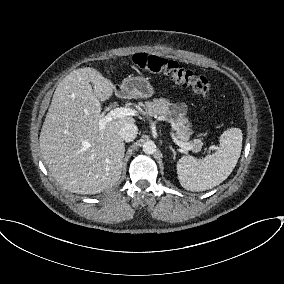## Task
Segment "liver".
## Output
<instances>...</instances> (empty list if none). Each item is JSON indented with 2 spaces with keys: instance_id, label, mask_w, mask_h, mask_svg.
Instances as JSON below:
<instances>
[{
  "instance_id": "obj_1",
  "label": "liver",
  "mask_w": 284,
  "mask_h": 284,
  "mask_svg": "<svg viewBox=\"0 0 284 284\" xmlns=\"http://www.w3.org/2000/svg\"><path fill=\"white\" fill-rule=\"evenodd\" d=\"M114 90L99 71L85 67L70 72L54 92L39 144L51 175L70 192L97 194L120 179L125 152L120 129L135 120L118 118L100 131L101 103Z\"/></svg>"
}]
</instances>
